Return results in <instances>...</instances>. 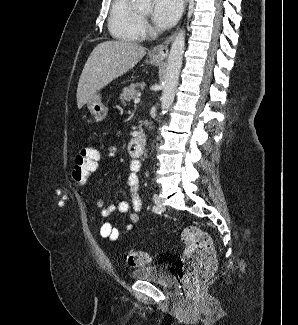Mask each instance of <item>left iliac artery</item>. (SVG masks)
<instances>
[{
	"mask_svg": "<svg viewBox=\"0 0 298 325\" xmlns=\"http://www.w3.org/2000/svg\"><path fill=\"white\" fill-rule=\"evenodd\" d=\"M152 211H153V212H158V208H157L156 205H154V206L152 207Z\"/></svg>",
	"mask_w": 298,
	"mask_h": 325,
	"instance_id": "left-iliac-artery-1",
	"label": "left iliac artery"
}]
</instances>
